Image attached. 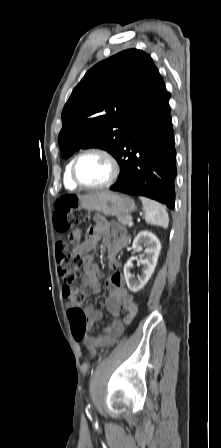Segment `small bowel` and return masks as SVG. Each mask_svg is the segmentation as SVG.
Wrapping results in <instances>:
<instances>
[{"mask_svg": "<svg viewBox=\"0 0 221 448\" xmlns=\"http://www.w3.org/2000/svg\"><path fill=\"white\" fill-rule=\"evenodd\" d=\"M127 239V235L124 232L110 225L104 218H96L91 236L83 243L74 247V251L86 256L87 266L83 277V284L92 293H98L100 291V284L96 277L98 265L91 261L90 252L100 242L108 250L109 266L113 270V273L107 280L109 294L105 300V305L108 312L115 318V320L105 327L101 334H87L85 336L84 343L92 352L112 346L123 333L124 325L130 323L137 312V305L134 302L133 297L125 288L123 277L117 270L118 264L116 256L119 250L127 242ZM83 312L86 316L87 330L91 331L94 323L100 321L103 314L92 305L86 306ZM122 312L125 313L123 321L119 318Z\"/></svg>", "mask_w": 221, "mask_h": 448, "instance_id": "1", "label": "small bowel"}]
</instances>
